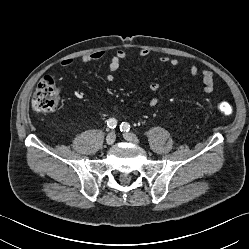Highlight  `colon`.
I'll return each instance as SVG.
<instances>
[{
    "instance_id": "obj_1",
    "label": "colon",
    "mask_w": 249,
    "mask_h": 249,
    "mask_svg": "<svg viewBox=\"0 0 249 249\" xmlns=\"http://www.w3.org/2000/svg\"><path fill=\"white\" fill-rule=\"evenodd\" d=\"M32 107L40 113H53L59 107V98L54 79L51 76H44L38 82L33 99ZM218 111L226 116L231 115L232 106L227 102H220L217 105Z\"/></svg>"
}]
</instances>
